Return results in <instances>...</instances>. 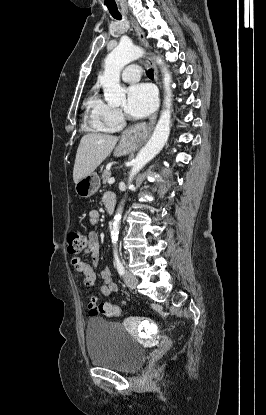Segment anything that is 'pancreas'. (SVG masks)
I'll list each match as a JSON object with an SVG mask.
<instances>
[{"instance_id": "cf45deb5", "label": "pancreas", "mask_w": 266, "mask_h": 415, "mask_svg": "<svg viewBox=\"0 0 266 415\" xmlns=\"http://www.w3.org/2000/svg\"><path fill=\"white\" fill-rule=\"evenodd\" d=\"M111 176V171L110 170H104L103 174H102V183L103 184H107L109 178Z\"/></svg>"}]
</instances>
